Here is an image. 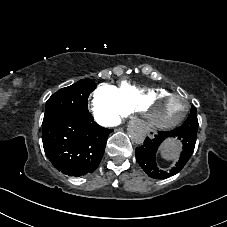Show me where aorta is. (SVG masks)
Returning a JSON list of instances; mask_svg holds the SVG:
<instances>
[{
	"mask_svg": "<svg viewBox=\"0 0 227 227\" xmlns=\"http://www.w3.org/2000/svg\"><path fill=\"white\" fill-rule=\"evenodd\" d=\"M129 133L131 139L137 143L141 144L145 138V129L143 124L140 121H134L129 125Z\"/></svg>",
	"mask_w": 227,
	"mask_h": 227,
	"instance_id": "obj_1",
	"label": "aorta"
}]
</instances>
